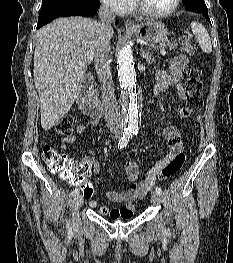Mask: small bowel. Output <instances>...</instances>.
<instances>
[{
  "label": "small bowel",
  "mask_w": 233,
  "mask_h": 263,
  "mask_svg": "<svg viewBox=\"0 0 233 263\" xmlns=\"http://www.w3.org/2000/svg\"><path fill=\"white\" fill-rule=\"evenodd\" d=\"M188 64V58L184 54L175 56L171 62L169 71L157 70L156 83L153 89L154 95H159L167 91L171 87H175L177 98L180 101L185 100V88L183 85L182 74ZM178 113L182 114V109ZM97 124L95 119H91L84 124H79L75 128L76 134L80 135L87 131L89 128ZM163 136L168 149V154L160 160L147 174L144 180L139 181V166L133 161H126L124 164V173L126 180L130 183V187L125 191L107 190L105 196L113 203H122L124 206L120 208H109L100 205L95 200H90L89 205L95 208L101 215L107 216L112 220L129 219L135 212V202L143 198L153 187L156 179L152 178L155 170L163 167L170 162L176 155L182 153L183 143L181 134L175 127H166L163 131ZM77 137L75 134H70L62 138L60 150H68V145L76 142ZM89 153H91L89 151ZM75 171H92L93 174L98 173L99 165L92 157L83 158L81 161L76 162ZM83 184V183H72ZM85 198H90L91 195H83Z\"/></svg>",
  "instance_id": "1"
}]
</instances>
